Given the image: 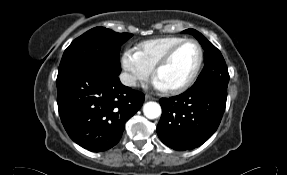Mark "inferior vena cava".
<instances>
[{"label": "inferior vena cava", "instance_id": "602c4592", "mask_svg": "<svg viewBox=\"0 0 287 175\" xmlns=\"http://www.w3.org/2000/svg\"><path fill=\"white\" fill-rule=\"evenodd\" d=\"M120 81L123 85L125 86H135L136 85V78L132 76L131 74L128 73H121L120 76Z\"/></svg>", "mask_w": 287, "mask_h": 175}]
</instances>
